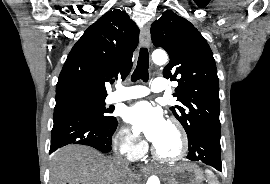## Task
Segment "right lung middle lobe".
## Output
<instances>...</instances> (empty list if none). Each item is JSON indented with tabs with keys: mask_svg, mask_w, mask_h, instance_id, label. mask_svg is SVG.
Segmentation results:
<instances>
[{
	"mask_svg": "<svg viewBox=\"0 0 270 184\" xmlns=\"http://www.w3.org/2000/svg\"><path fill=\"white\" fill-rule=\"evenodd\" d=\"M75 110L90 116L96 122L109 127L117 120L109 116L105 108V98L83 95H66L56 98L54 112Z\"/></svg>",
	"mask_w": 270,
	"mask_h": 184,
	"instance_id": "dd1d6c3e",
	"label": "right lung middle lobe"
}]
</instances>
